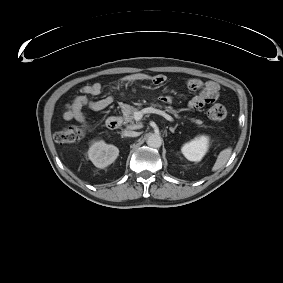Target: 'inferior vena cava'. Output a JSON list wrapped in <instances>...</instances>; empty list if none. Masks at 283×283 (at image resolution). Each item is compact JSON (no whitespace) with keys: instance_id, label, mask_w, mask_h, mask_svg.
<instances>
[{"instance_id":"inferior-vena-cava-1","label":"inferior vena cava","mask_w":283,"mask_h":283,"mask_svg":"<svg viewBox=\"0 0 283 283\" xmlns=\"http://www.w3.org/2000/svg\"><path fill=\"white\" fill-rule=\"evenodd\" d=\"M123 134L125 136H128V137H137V136H139L138 132H135V131H132V130H129V129L124 130Z\"/></svg>"}]
</instances>
